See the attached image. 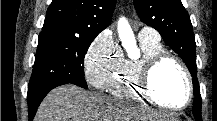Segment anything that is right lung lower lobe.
I'll return each instance as SVG.
<instances>
[{"label": "right lung lower lobe", "instance_id": "98d812e1", "mask_svg": "<svg viewBox=\"0 0 217 121\" xmlns=\"http://www.w3.org/2000/svg\"><path fill=\"white\" fill-rule=\"evenodd\" d=\"M68 83L70 82L66 80H55V81L48 82L34 90L28 91L27 100H28L29 121L33 119L41 101L44 99V97L47 95L49 91H51L53 88L57 86L68 84Z\"/></svg>", "mask_w": 217, "mask_h": 121}]
</instances>
